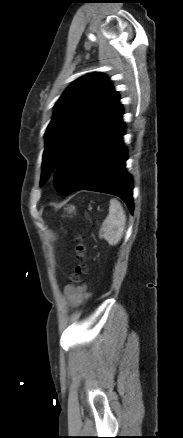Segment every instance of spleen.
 Instances as JSON below:
<instances>
[{"mask_svg":"<svg viewBox=\"0 0 183 438\" xmlns=\"http://www.w3.org/2000/svg\"><path fill=\"white\" fill-rule=\"evenodd\" d=\"M125 211L116 199L110 200L109 214L103 221L99 237L105 239L111 246H115L121 240L125 230Z\"/></svg>","mask_w":183,"mask_h":438,"instance_id":"spleen-1","label":"spleen"}]
</instances>
